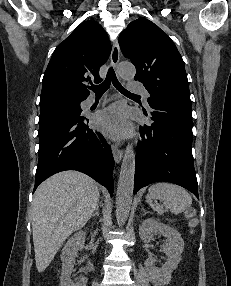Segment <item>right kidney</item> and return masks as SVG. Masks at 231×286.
I'll use <instances>...</instances> for the list:
<instances>
[{"instance_id":"1","label":"right kidney","mask_w":231,"mask_h":286,"mask_svg":"<svg viewBox=\"0 0 231 286\" xmlns=\"http://www.w3.org/2000/svg\"><path fill=\"white\" fill-rule=\"evenodd\" d=\"M86 233L79 231L75 233L65 244L62 251V273L60 286H86L87 278L83 277L79 281H72V272L75 264L77 252L84 247Z\"/></svg>"}]
</instances>
